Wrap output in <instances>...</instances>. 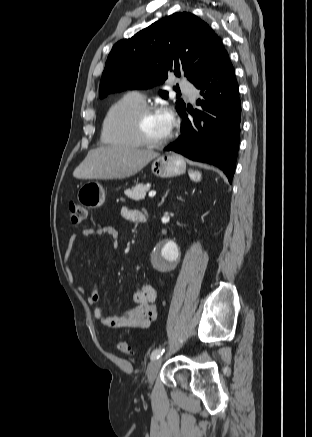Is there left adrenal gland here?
Segmentation results:
<instances>
[{"mask_svg": "<svg viewBox=\"0 0 312 437\" xmlns=\"http://www.w3.org/2000/svg\"><path fill=\"white\" fill-rule=\"evenodd\" d=\"M168 192H169V191H167L166 194L162 197V200H161L159 206H161V205L164 203V200H165V198L167 197Z\"/></svg>", "mask_w": 312, "mask_h": 437, "instance_id": "a2214340", "label": "left adrenal gland"}]
</instances>
